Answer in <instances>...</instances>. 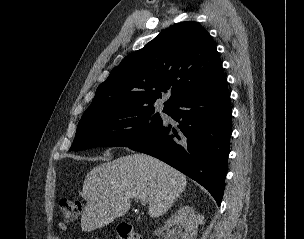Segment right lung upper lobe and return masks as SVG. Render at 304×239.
<instances>
[{
	"label": "right lung upper lobe",
	"instance_id": "right-lung-upper-lobe-1",
	"mask_svg": "<svg viewBox=\"0 0 304 239\" xmlns=\"http://www.w3.org/2000/svg\"><path fill=\"white\" fill-rule=\"evenodd\" d=\"M220 73L222 63L208 32L197 22H181L126 56L99 85L82 118L118 107L153 105L168 93L165 108Z\"/></svg>",
	"mask_w": 304,
	"mask_h": 239
}]
</instances>
